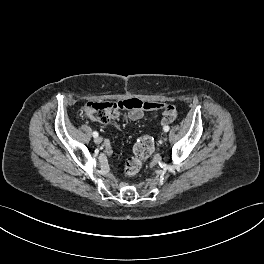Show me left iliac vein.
<instances>
[{
	"instance_id": "1",
	"label": "left iliac vein",
	"mask_w": 264,
	"mask_h": 264,
	"mask_svg": "<svg viewBox=\"0 0 264 264\" xmlns=\"http://www.w3.org/2000/svg\"><path fill=\"white\" fill-rule=\"evenodd\" d=\"M163 140L167 142L169 139H168L167 136H164V137H163Z\"/></svg>"
}]
</instances>
